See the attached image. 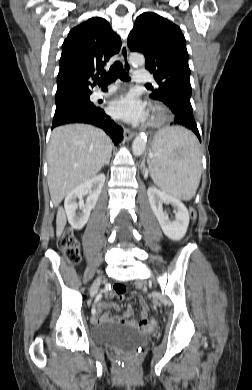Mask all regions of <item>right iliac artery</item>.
I'll return each instance as SVG.
<instances>
[{
	"label": "right iliac artery",
	"mask_w": 252,
	"mask_h": 390,
	"mask_svg": "<svg viewBox=\"0 0 252 390\" xmlns=\"http://www.w3.org/2000/svg\"><path fill=\"white\" fill-rule=\"evenodd\" d=\"M102 298H103V292L99 291L97 297L93 300L94 304L91 306V312H90L91 316L96 315V312H97L96 305H98L100 303V299H102Z\"/></svg>",
	"instance_id": "right-iliac-artery-1"
}]
</instances>
